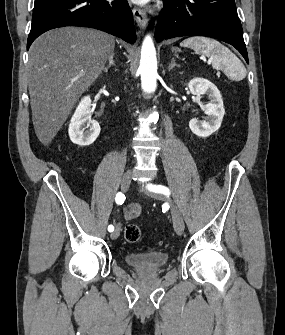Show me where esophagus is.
<instances>
[{
    "instance_id": "1",
    "label": "esophagus",
    "mask_w": 285,
    "mask_h": 335,
    "mask_svg": "<svg viewBox=\"0 0 285 335\" xmlns=\"http://www.w3.org/2000/svg\"><path fill=\"white\" fill-rule=\"evenodd\" d=\"M133 16L140 29H145L147 27L148 18L143 10L139 8H133Z\"/></svg>"
}]
</instances>
